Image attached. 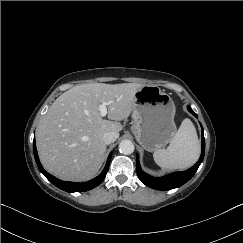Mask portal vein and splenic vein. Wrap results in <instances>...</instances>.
<instances>
[{
    "mask_svg": "<svg viewBox=\"0 0 243 243\" xmlns=\"http://www.w3.org/2000/svg\"><path fill=\"white\" fill-rule=\"evenodd\" d=\"M107 105H108L107 102H104L99 105L100 115L102 117H105L107 115Z\"/></svg>",
    "mask_w": 243,
    "mask_h": 243,
    "instance_id": "portal-vein-and-splenic-vein-1",
    "label": "portal vein and splenic vein"
}]
</instances>
